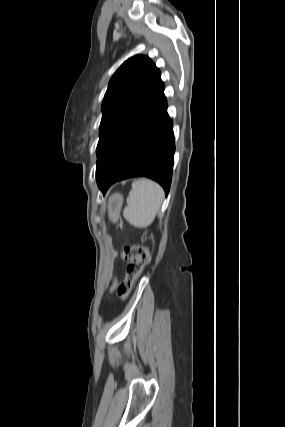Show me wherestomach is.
<instances>
[{
	"label": "stomach",
	"instance_id": "stomach-1",
	"mask_svg": "<svg viewBox=\"0 0 285 427\" xmlns=\"http://www.w3.org/2000/svg\"><path fill=\"white\" fill-rule=\"evenodd\" d=\"M122 202H123V198L121 194H113L109 198L108 208H109L110 218L113 221H116L119 216Z\"/></svg>",
	"mask_w": 285,
	"mask_h": 427
}]
</instances>
